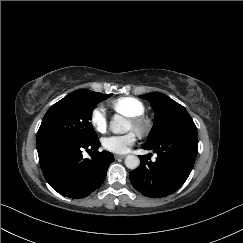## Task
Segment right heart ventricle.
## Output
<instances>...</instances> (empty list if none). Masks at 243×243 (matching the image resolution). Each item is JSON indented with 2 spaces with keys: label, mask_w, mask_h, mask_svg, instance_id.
I'll list each match as a JSON object with an SVG mask.
<instances>
[{
  "label": "right heart ventricle",
  "mask_w": 243,
  "mask_h": 243,
  "mask_svg": "<svg viewBox=\"0 0 243 243\" xmlns=\"http://www.w3.org/2000/svg\"><path fill=\"white\" fill-rule=\"evenodd\" d=\"M109 107L127 117L140 116L144 113V104L134 97H120L112 100Z\"/></svg>",
  "instance_id": "e07e8e85"
}]
</instances>
